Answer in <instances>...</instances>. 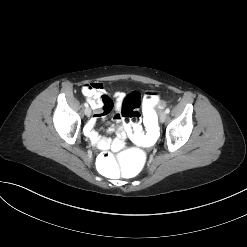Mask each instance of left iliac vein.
Listing matches in <instances>:
<instances>
[{"mask_svg":"<svg viewBox=\"0 0 247 247\" xmlns=\"http://www.w3.org/2000/svg\"><path fill=\"white\" fill-rule=\"evenodd\" d=\"M159 118H160L161 122H164L166 120V118H167V113L164 112V111L161 112Z\"/></svg>","mask_w":247,"mask_h":247,"instance_id":"left-iliac-vein-1","label":"left iliac vein"}]
</instances>
